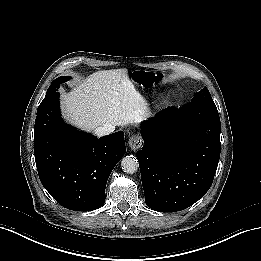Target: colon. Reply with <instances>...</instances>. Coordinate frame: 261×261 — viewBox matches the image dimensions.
<instances>
[{
    "label": "colon",
    "instance_id": "5ec220e1",
    "mask_svg": "<svg viewBox=\"0 0 261 261\" xmlns=\"http://www.w3.org/2000/svg\"><path fill=\"white\" fill-rule=\"evenodd\" d=\"M140 78L143 83L148 84L156 83L159 80V77L151 72H142Z\"/></svg>",
    "mask_w": 261,
    "mask_h": 261
}]
</instances>
